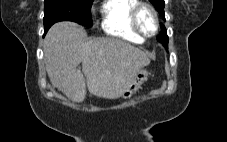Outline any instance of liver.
<instances>
[{"instance_id": "6515ba94", "label": "liver", "mask_w": 227, "mask_h": 142, "mask_svg": "<svg viewBox=\"0 0 227 142\" xmlns=\"http://www.w3.org/2000/svg\"><path fill=\"white\" fill-rule=\"evenodd\" d=\"M85 37V30L77 23L58 22L44 41L50 82L74 102L84 101L86 87L97 97H121L136 74L150 63L142 50L120 39L86 41Z\"/></svg>"}]
</instances>
